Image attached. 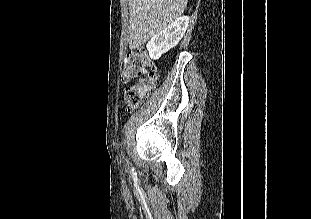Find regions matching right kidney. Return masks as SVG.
<instances>
[{
	"mask_svg": "<svg viewBox=\"0 0 311 219\" xmlns=\"http://www.w3.org/2000/svg\"><path fill=\"white\" fill-rule=\"evenodd\" d=\"M188 24V16L179 17L161 32L153 36L147 44V50L150 58L157 60L164 53L175 47L182 39L186 29L188 28Z\"/></svg>",
	"mask_w": 311,
	"mask_h": 219,
	"instance_id": "obj_1",
	"label": "right kidney"
}]
</instances>
